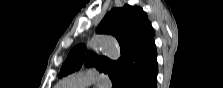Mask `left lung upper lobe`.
<instances>
[{
	"label": "left lung upper lobe",
	"instance_id": "obj_1",
	"mask_svg": "<svg viewBox=\"0 0 223 88\" xmlns=\"http://www.w3.org/2000/svg\"><path fill=\"white\" fill-rule=\"evenodd\" d=\"M96 32L115 36L121 47V57L111 61L96 54L85 56V47L80 44L67 56L60 77L78 70L84 63L108 74L112 87L118 88L130 76L141 73L157 57L154 30L140 7L125 5L112 9L105 15Z\"/></svg>",
	"mask_w": 223,
	"mask_h": 88
}]
</instances>
